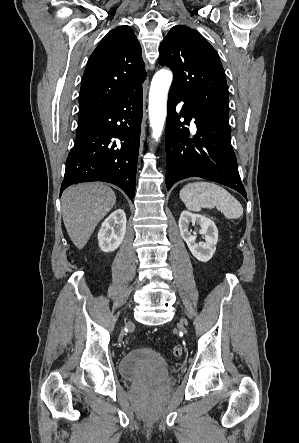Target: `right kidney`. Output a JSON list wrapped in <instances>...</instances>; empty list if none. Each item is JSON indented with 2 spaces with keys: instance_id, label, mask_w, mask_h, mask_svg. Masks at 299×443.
Returning <instances> with one entry per match:
<instances>
[{
  "instance_id": "1",
  "label": "right kidney",
  "mask_w": 299,
  "mask_h": 443,
  "mask_svg": "<svg viewBox=\"0 0 299 443\" xmlns=\"http://www.w3.org/2000/svg\"><path fill=\"white\" fill-rule=\"evenodd\" d=\"M126 215L118 209L111 213L102 223L98 232L99 247L104 252L116 250L122 243L126 233Z\"/></svg>"
}]
</instances>
